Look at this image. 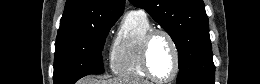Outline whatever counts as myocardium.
Returning <instances> with one entry per match:
<instances>
[{"label":"myocardium","instance_id":"1","mask_svg":"<svg viewBox=\"0 0 260 84\" xmlns=\"http://www.w3.org/2000/svg\"><path fill=\"white\" fill-rule=\"evenodd\" d=\"M157 35H163L168 39V41L171 44V47L173 49L174 53V71L172 75L169 78L166 79H160L158 78L152 71L151 66H150V48H151V43L154 40V38ZM141 60H142V67L143 70L145 71L146 75L153 80L156 83L160 84H166L173 82L180 71V52L179 48L177 46V43L173 36L166 30L160 29V28H152L150 29L145 36L143 37L142 44H141Z\"/></svg>","mask_w":260,"mask_h":84}]
</instances>
